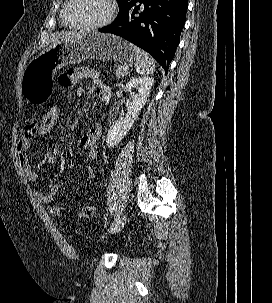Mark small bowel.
<instances>
[{"mask_svg":"<svg viewBox=\"0 0 272 303\" xmlns=\"http://www.w3.org/2000/svg\"><path fill=\"white\" fill-rule=\"evenodd\" d=\"M82 79H93L95 83V92L97 96L104 95L106 97L107 89L105 83L99 78L98 73L90 68L71 69L59 76V82L63 86L72 87ZM101 129L98 125L89 128L83 133L79 140L80 149L86 154L90 160H95L98 156L96 143L100 137ZM38 135V120L36 118L29 119L21 132L20 139L17 144L18 161L25 178L32 184L37 181V173L30 164L28 155L29 147L34 138ZM56 163V155L51 150H45L39 161L37 168L43 169ZM86 178L88 181L94 178V171L90 166L86 167ZM59 191L57 184H50L47 192L35 189L36 198L48 207L51 214L59 216L62 208L52 205V201Z\"/></svg>","mask_w":272,"mask_h":303,"instance_id":"small-bowel-1","label":"small bowel"}]
</instances>
